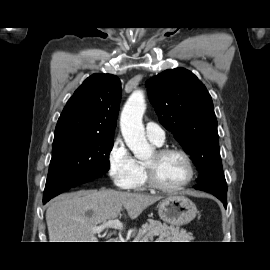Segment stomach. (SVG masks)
<instances>
[{
  "instance_id": "obj_1",
  "label": "stomach",
  "mask_w": 270,
  "mask_h": 270,
  "mask_svg": "<svg viewBox=\"0 0 270 270\" xmlns=\"http://www.w3.org/2000/svg\"><path fill=\"white\" fill-rule=\"evenodd\" d=\"M159 217L172 226L190 223L197 215L196 205L184 195L173 194L164 198L158 205Z\"/></svg>"
}]
</instances>
